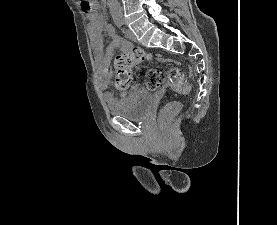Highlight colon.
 I'll use <instances>...</instances> for the list:
<instances>
[{
  "label": "colon",
  "instance_id": "1",
  "mask_svg": "<svg viewBox=\"0 0 277 225\" xmlns=\"http://www.w3.org/2000/svg\"><path fill=\"white\" fill-rule=\"evenodd\" d=\"M82 9L85 12H92L96 9V5L92 0H82ZM151 53L143 49H133L129 53H123L116 56L114 61L115 76L114 84L117 90L126 91L132 82V68L134 65L144 61L152 60ZM167 78L176 90L182 93H190L191 85L187 74L179 68H171L167 73ZM166 76L161 70H150L146 74V86L150 90L158 89L165 81ZM182 109V104L178 101H172L166 104L161 110L160 120L166 125L176 114Z\"/></svg>",
  "mask_w": 277,
  "mask_h": 225
}]
</instances>
